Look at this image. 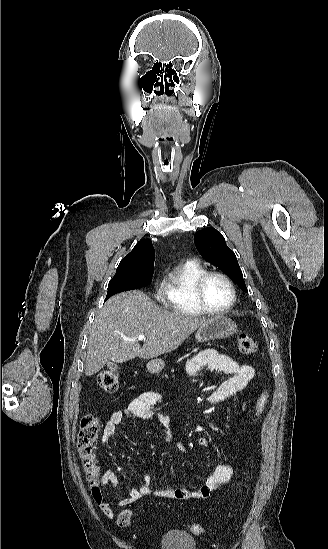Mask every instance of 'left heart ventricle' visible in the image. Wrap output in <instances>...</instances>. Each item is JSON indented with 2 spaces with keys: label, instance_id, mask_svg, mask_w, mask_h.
Listing matches in <instances>:
<instances>
[{
  "label": "left heart ventricle",
  "instance_id": "obj_1",
  "mask_svg": "<svg viewBox=\"0 0 328 549\" xmlns=\"http://www.w3.org/2000/svg\"><path fill=\"white\" fill-rule=\"evenodd\" d=\"M206 303L205 308L220 311L228 306L231 301V289L227 282L220 277H211L204 289Z\"/></svg>",
  "mask_w": 328,
  "mask_h": 549
}]
</instances>
